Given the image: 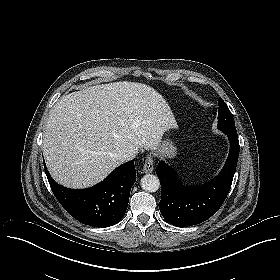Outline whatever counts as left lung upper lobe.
Wrapping results in <instances>:
<instances>
[{
    "label": "left lung upper lobe",
    "instance_id": "left-lung-upper-lobe-1",
    "mask_svg": "<svg viewBox=\"0 0 280 280\" xmlns=\"http://www.w3.org/2000/svg\"><path fill=\"white\" fill-rule=\"evenodd\" d=\"M218 113V129L226 134H237L235 122L226 103L220 98Z\"/></svg>",
    "mask_w": 280,
    "mask_h": 280
}]
</instances>
